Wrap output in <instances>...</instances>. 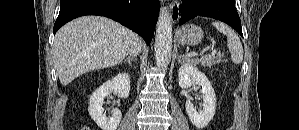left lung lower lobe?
<instances>
[{"instance_id": "0a47b994", "label": "left lung lower lobe", "mask_w": 299, "mask_h": 130, "mask_svg": "<svg viewBox=\"0 0 299 130\" xmlns=\"http://www.w3.org/2000/svg\"><path fill=\"white\" fill-rule=\"evenodd\" d=\"M179 12L181 13L179 25L198 15L205 16L225 22L243 37L234 0H183Z\"/></svg>"}]
</instances>
